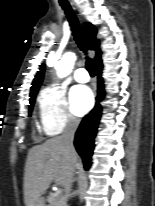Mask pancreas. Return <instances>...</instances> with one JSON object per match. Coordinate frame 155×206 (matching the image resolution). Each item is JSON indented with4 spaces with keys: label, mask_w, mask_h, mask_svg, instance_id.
Listing matches in <instances>:
<instances>
[{
    "label": "pancreas",
    "mask_w": 155,
    "mask_h": 206,
    "mask_svg": "<svg viewBox=\"0 0 155 206\" xmlns=\"http://www.w3.org/2000/svg\"><path fill=\"white\" fill-rule=\"evenodd\" d=\"M62 199V194L50 193L47 197L48 206H61Z\"/></svg>",
    "instance_id": "cf45deb5"
}]
</instances>
